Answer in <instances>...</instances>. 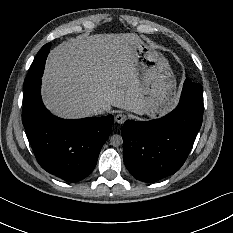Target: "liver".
<instances>
[{
	"mask_svg": "<svg viewBox=\"0 0 233 233\" xmlns=\"http://www.w3.org/2000/svg\"><path fill=\"white\" fill-rule=\"evenodd\" d=\"M130 33L79 35L51 50L42 78L44 104L64 118L92 116L102 104L147 114L138 72L131 63Z\"/></svg>",
	"mask_w": 233,
	"mask_h": 233,
	"instance_id": "obj_1",
	"label": "liver"
}]
</instances>
